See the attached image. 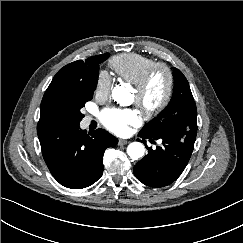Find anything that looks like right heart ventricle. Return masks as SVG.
<instances>
[{
	"label": "right heart ventricle",
	"mask_w": 243,
	"mask_h": 243,
	"mask_svg": "<svg viewBox=\"0 0 243 243\" xmlns=\"http://www.w3.org/2000/svg\"><path fill=\"white\" fill-rule=\"evenodd\" d=\"M153 63L155 60L150 57L136 53H124L114 56L109 61V66L117 78L133 84Z\"/></svg>",
	"instance_id": "right-heart-ventricle-1"
}]
</instances>
